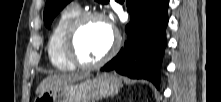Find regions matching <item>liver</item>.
Listing matches in <instances>:
<instances>
[{
	"label": "liver",
	"mask_w": 221,
	"mask_h": 102,
	"mask_svg": "<svg viewBox=\"0 0 221 102\" xmlns=\"http://www.w3.org/2000/svg\"><path fill=\"white\" fill-rule=\"evenodd\" d=\"M89 74H81V73H75V74H62V75H54L49 76L45 78L41 84L37 88V93L41 94L47 90H50L52 88L60 87L66 84H70L79 80H82L84 78H87Z\"/></svg>",
	"instance_id": "1"
}]
</instances>
